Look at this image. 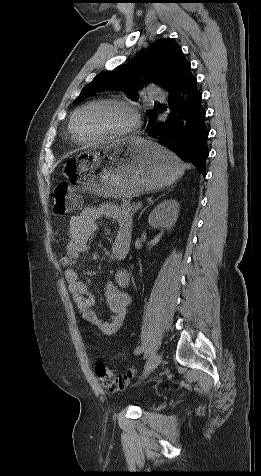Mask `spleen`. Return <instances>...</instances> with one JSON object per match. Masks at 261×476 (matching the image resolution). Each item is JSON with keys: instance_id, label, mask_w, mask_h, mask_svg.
<instances>
[{"instance_id": "1", "label": "spleen", "mask_w": 261, "mask_h": 476, "mask_svg": "<svg viewBox=\"0 0 261 476\" xmlns=\"http://www.w3.org/2000/svg\"><path fill=\"white\" fill-rule=\"evenodd\" d=\"M185 167H186V168H188V169L190 168V166H189V165H185Z\"/></svg>"}]
</instances>
